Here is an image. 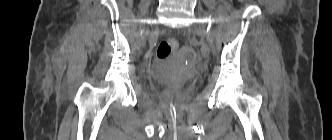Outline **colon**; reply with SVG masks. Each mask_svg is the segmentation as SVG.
Here are the masks:
<instances>
[{
    "instance_id": "obj_1",
    "label": "colon",
    "mask_w": 332,
    "mask_h": 140,
    "mask_svg": "<svg viewBox=\"0 0 332 140\" xmlns=\"http://www.w3.org/2000/svg\"><path fill=\"white\" fill-rule=\"evenodd\" d=\"M179 47V41L176 38L163 40L159 43L156 56L160 60L170 57Z\"/></svg>"
}]
</instances>
